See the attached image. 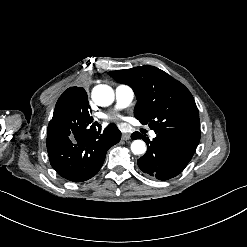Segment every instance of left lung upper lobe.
<instances>
[{"label": "left lung upper lobe", "instance_id": "1", "mask_svg": "<svg viewBox=\"0 0 247 247\" xmlns=\"http://www.w3.org/2000/svg\"><path fill=\"white\" fill-rule=\"evenodd\" d=\"M108 74L133 88L137 97L134 114L142 124L149 123L155 133L174 134L199 143V112L192 94L182 83L150 65Z\"/></svg>", "mask_w": 247, "mask_h": 247}]
</instances>
